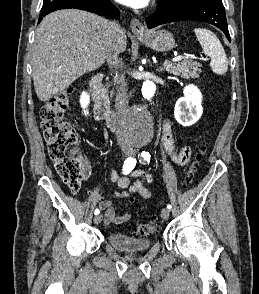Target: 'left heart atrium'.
Instances as JSON below:
<instances>
[{
  "instance_id": "1",
  "label": "left heart atrium",
  "mask_w": 259,
  "mask_h": 294,
  "mask_svg": "<svg viewBox=\"0 0 259 294\" xmlns=\"http://www.w3.org/2000/svg\"><path fill=\"white\" fill-rule=\"evenodd\" d=\"M117 2L132 7V8H144L148 5L149 0H116Z\"/></svg>"
}]
</instances>
